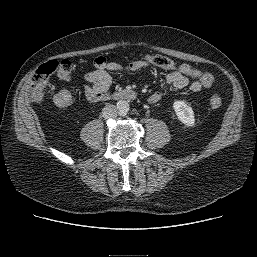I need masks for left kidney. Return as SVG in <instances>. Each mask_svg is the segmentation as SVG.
Returning a JSON list of instances; mask_svg holds the SVG:
<instances>
[{
	"label": "left kidney",
	"instance_id": "left-kidney-1",
	"mask_svg": "<svg viewBox=\"0 0 257 257\" xmlns=\"http://www.w3.org/2000/svg\"><path fill=\"white\" fill-rule=\"evenodd\" d=\"M173 109L179 119L183 124L187 126H194L195 118L192 108L186 104L184 101L176 100L173 103Z\"/></svg>",
	"mask_w": 257,
	"mask_h": 257
}]
</instances>
